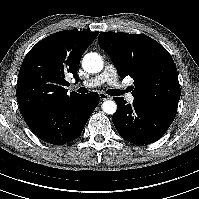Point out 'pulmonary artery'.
I'll list each match as a JSON object with an SVG mask.
<instances>
[{"label":"pulmonary artery","mask_w":199,"mask_h":199,"mask_svg":"<svg viewBox=\"0 0 199 199\" xmlns=\"http://www.w3.org/2000/svg\"><path fill=\"white\" fill-rule=\"evenodd\" d=\"M105 83L119 91L122 95H125V98L129 103H133L135 101L134 95L127 93L124 85L119 81L117 70L113 65H107L100 74L83 81L78 85L81 87L91 88Z\"/></svg>","instance_id":"pulmonary-artery-1"}]
</instances>
